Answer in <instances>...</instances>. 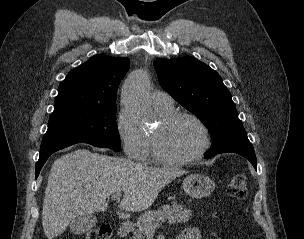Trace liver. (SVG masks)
Returning <instances> with one entry per match:
<instances>
[{"label": "liver", "instance_id": "1", "mask_svg": "<svg viewBox=\"0 0 304 239\" xmlns=\"http://www.w3.org/2000/svg\"><path fill=\"white\" fill-rule=\"evenodd\" d=\"M186 172L157 168L78 149L54 161L48 176L42 209L45 236L61 235L77 216L105 211L106 199L124 192L120 208L148 209L161 189Z\"/></svg>", "mask_w": 304, "mask_h": 239}]
</instances>
